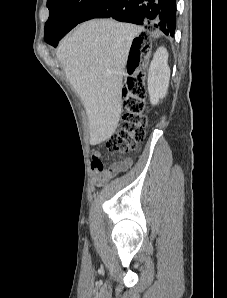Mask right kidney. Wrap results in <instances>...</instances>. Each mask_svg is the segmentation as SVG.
Segmentation results:
<instances>
[{
    "label": "right kidney",
    "mask_w": 227,
    "mask_h": 298,
    "mask_svg": "<svg viewBox=\"0 0 227 298\" xmlns=\"http://www.w3.org/2000/svg\"><path fill=\"white\" fill-rule=\"evenodd\" d=\"M169 79L168 52L164 47H160L153 56L148 73V91L153 105L166 96Z\"/></svg>",
    "instance_id": "right-kidney-1"
}]
</instances>
